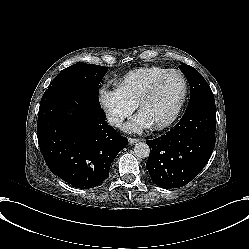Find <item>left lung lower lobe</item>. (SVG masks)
Here are the masks:
<instances>
[{
	"mask_svg": "<svg viewBox=\"0 0 249 249\" xmlns=\"http://www.w3.org/2000/svg\"><path fill=\"white\" fill-rule=\"evenodd\" d=\"M215 129V104H203L185 111L165 135L147 140L146 167L152 181L162 188H178L194 179L212 154Z\"/></svg>",
	"mask_w": 249,
	"mask_h": 249,
	"instance_id": "left-lung-lower-lobe-1",
	"label": "left lung lower lobe"
}]
</instances>
